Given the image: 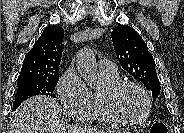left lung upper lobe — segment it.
I'll use <instances>...</instances> for the list:
<instances>
[{"instance_id": "left-lung-upper-lobe-1", "label": "left lung upper lobe", "mask_w": 184, "mask_h": 133, "mask_svg": "<svg viewBox=\"0 0 184 133\" xmlns=\"http://www.w3.org/2000/svg\"><path fill=\"white\" fill-rule=\"evenodd\" d=\"M111 38L122 68L151 90L155 100L161 86L154 59L144 40L133 28L125 25L115 27Z\"/></svg>"}]
</instances>
